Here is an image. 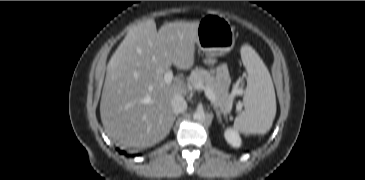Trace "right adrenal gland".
<instances>
[{
    "mask_svg": "<svg viewBox=\"0 0 365 180\" xmlns=\"http://www.w3.org/2000/svg\"><path fill=\"white\" fill-rule=\"evenodd\" d=\"M177 117H178V114H175L174 115V121H173V123L175 122V120H176Z\"/></svg>",
    "mask_w": 365,
    "mask_h": 180,
    "instance_id": "2a0ac1e0",
    "label": "right adrenal gland"
}]
</instances>
